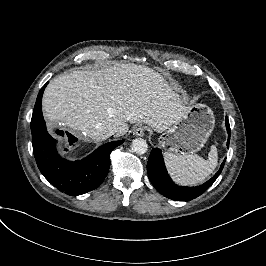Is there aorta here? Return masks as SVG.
Wrapping results in <instances>:
<instances>
[{"instance_id":"obj_1","label":"aorta","mask_w":266,"mask_h":266,"mask_svg":"<svg viewBox=\"0 0 266 266\" xmlns=\"http://www.w3.org/2000/svg\"><path fill=\"white\" fill-rule=\"evenodd\" d=\"M132 151L144 155L148 151V144L144 139L138 138L132 141Z\"/></svg>"}]
</instances>
